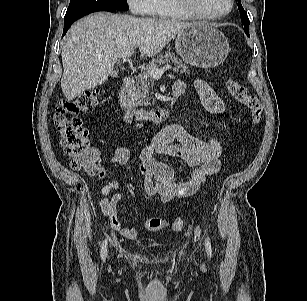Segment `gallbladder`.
<instances>
[{
    "label": "gallbladder",
    "instance_id": "gallbladder-1",
    "mask_svg": "<svg viewBox=\"0 0 307 301\" xmlns=\"http://www.w3.org/2000/svg\"><path fill=\"white\" fill-rule=\"evenodd\" d=\"M112 77H116L117 76V71H113L111 74Z\"/></svg>",
    "mask_w": 307,
    "mask_h": 301
}]
</instances>
